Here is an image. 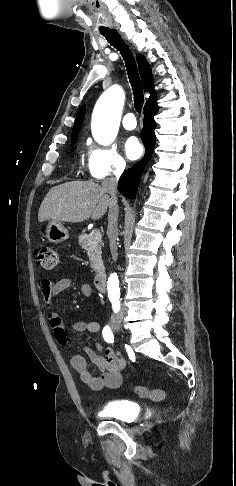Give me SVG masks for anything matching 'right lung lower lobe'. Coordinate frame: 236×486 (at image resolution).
Returning <instances> with one entry per match:
<instances>
[{
  "label": "right lung lower lobe",
  "mask_w": 236,
  "mask_h": 486,
  "mask_svg": "<svg viewBox=\"0 0 236 486\" xmlns=\"http://www.w3.org/2000/svg\"><path fill=\"white\" fill-rule=\"evenodd\" d=\"M157 112L158 105L156 98L146 102L144 106V127L141 131V139L146 149L144 159L135 164L132 168L126 170L118 182V190L120 193L130 199H135L136 197L143 169L151 158L155 147L156 140L154 130L156 128V122L154 116Z\"/></svg>",
  "instance_id": "1"
}]
</instances>
